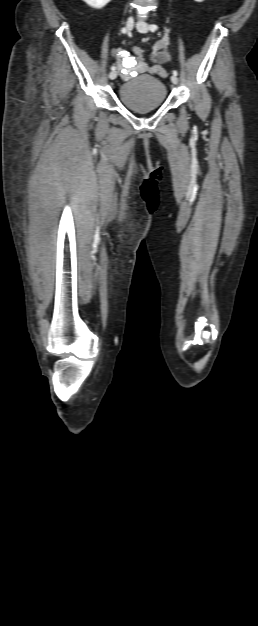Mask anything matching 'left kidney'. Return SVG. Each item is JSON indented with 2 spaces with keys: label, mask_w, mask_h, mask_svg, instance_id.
<instances>
[{
  "label": "left kidney",
  "mask_w": 258,
  "mask_h": 626,
  "mask_svg": "<svg viewBox=\"0 0 258 626\" xmlns=\"http://www.w3.org/2000/svg\"><path fill=\"white\" fill-rule=\"evenodd\" d=\"M195 2H203L204 0H194Z\"/></svg>",
  "instance_id": "obj_1"
}]
</instances>
